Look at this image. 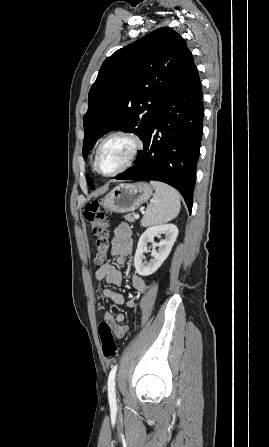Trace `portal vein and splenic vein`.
Returning a JSON list of instances; mask_svg holds the SVG:
<instances>
[{"mask_svg": "<svg viewBox=\"0 0 269 447\" xmlns=\"http://www.w3.org/2000/svg\"><path fill=\"white\" fill-rule=\"evenodd\" d=\"M144 214V212H143ZM135 220H138V218H140L139 214H136V216H134Z\"/></svg>", "mask_w": 269, "mask_h": 447, "instance_id": "obj_1", "label": "portal vein and splenic vein"}]
</instances>
